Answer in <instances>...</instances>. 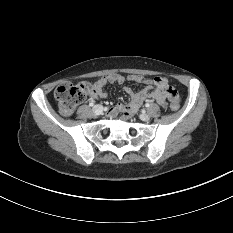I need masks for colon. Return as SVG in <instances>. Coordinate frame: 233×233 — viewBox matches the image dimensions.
<instances>
[{"label": "colon", "mask_w": 233, "mask_h": 233, "mask_svg": "<svg viewBox=\"0 0 233 233\" xmlns=\"http://www.w3.org/2000/svg\"><path fill=\"white\" fill-rule=\"evenodd\" d=\"M92 86L88 82L77 84L64 83L59 85L55 90V99L58 103L60 112L64 116L73 113L75 107L82 103L86 97L91 94ZM180 106V98L176 91L172 93L170 109L177 111Z\"/></svg>", "instance_id": "5ec220e1"}]
</instances>
